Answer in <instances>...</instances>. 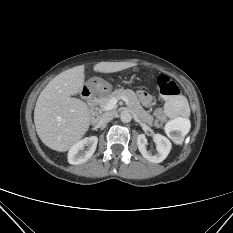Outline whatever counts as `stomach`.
Returning <instances> with one entry per match:
<instances>
[{
    "mask_svg": "<svg viewBox=\"0 0 233 233\" xmlns=\"http://www.w3.org/2000/svg\"><path fill=\"white\" fill-rule=\"evenodd\" d=\"M89 84L96 87L101 92H108L111 88L109 83L97 77L90 79Z\"/></svg>",
    "mask_w": 233,
    "mask_h": 233,
    "instance_id": "1",
    "label": "stomach"
}]
</instances>
